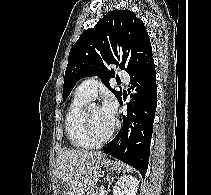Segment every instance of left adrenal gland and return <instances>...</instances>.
<instances>
[{
    "instance_id": "left-adrenal-gland-1",
    "label": "left adrenal gland",
    "mask_w": 211,
    "mask_h": 195,
    "mask_svg": "<svg viewBox=\"0 0 211 195\" xmlns=\"http://www.w3.org/2000/svg\"><path fill=\"white\" fill-rule=\"evenodd\" d=\"M114 178H115V177H112V179L109 181V185H108V188H107V190H106V194H105V195H108V193L110 192V185H111V183L114 181Z\"/></svg>"
}]
</instances>
